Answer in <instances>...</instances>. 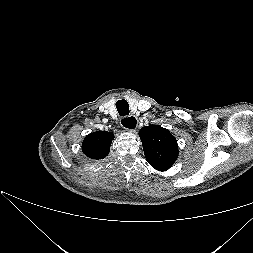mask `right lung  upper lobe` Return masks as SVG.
<instances>
[{
  "label": "right lung upper lobe",
  "instance_id": "obj_1",
  "mask_svg": "<svg viewBox=\"0 0 253 253\" xmlns=\"http://www.w3.org/2000/svg\"><path fill=\"white\" fill-rule=\"evenodd\" d=\"M114 135L110 132L98 131L90 133L82 143L83 153L95 160L103 159L109 154Z\"/></svg>",
  "mask_w": 253,
  "mask_h": 253
}]
</instances>
